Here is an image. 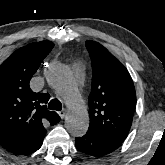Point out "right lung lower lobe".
<instances>
[{
	"mask_svg": "<svg viewBox=\"0 0 165 165\" xmlns=\"http://www.w3.org/2000/svg\"><path fill=\"white\" fill-rule=\"evenodd\" d=\"M45 136H43L41 139H39L38 141L32 143L31 145H29L28 147H26L24 150H22L21 152L17 153V155H23V154H28V153H32L36 150H38L42 143H43V139Z\"/></svg>",
	"mask_w": 165,
	"mask_h": 165,
	"instance_id": "1",
	"label": "right lung lower lobe"
}]
</instances>
